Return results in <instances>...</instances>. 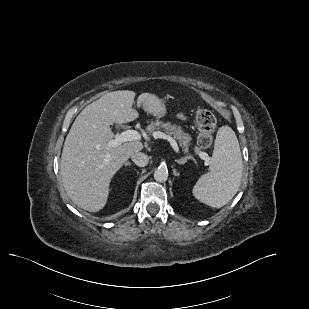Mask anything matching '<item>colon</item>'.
<instances>
[{"label": "colon", "instance_id": "obj_1", "mask_svg": "<svg viewBox=\"0 0 309 309\" xmlns=\"http://www.w3.org/2000/svg\"><path fill=\"white\" fill-rule=\"evenodd\" d=\"M195 119L199 131L197 143L200 147L207 148L213 141L216 117L209 110L202 109L197 112Z\"/></svg>", "mask_w": 309, "mask_h": 309}]
</instances>
